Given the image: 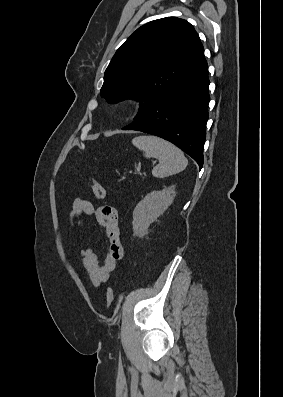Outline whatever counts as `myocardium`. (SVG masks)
Segmentation results:
<instances>
[{"label":"myocardium","mask_w":283,"mask_h":397,"mask_svg":"<svg viewBox=\"0 0 283 397\" xmlns=\"http://www.w3.org/2000/svg\"><path fill=\"white\" fill-rule=\"evenodd\" d=\"M120 108H121V111L125 114L130 113L133 109L132 105L129 103H122Z\"/></svg>","instance_id":"f54148a6"}]
</instances>
